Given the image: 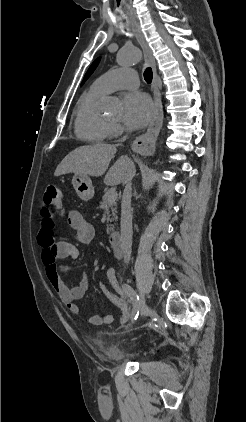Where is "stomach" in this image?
Wrapping results in <instances>:
<instances>
[{
    "label": "stomach",
    "mask_w": 246,
    "mask_h": 422,
    "mask_svg": "<svg viewBox=\"0 0 246 422\" xmlns=\"http://www.w3.org/2000/svg\"><path fill=\"white\" fill-rule=\"evenodd\" d=\"M72 184L80 199L87 201L94 196V187L88 176L75 174L72 178Z\"/></svg>",
    "instance_id": "stomach-1"
}]
</instances>
